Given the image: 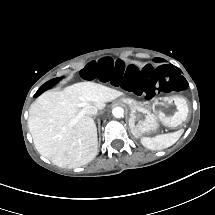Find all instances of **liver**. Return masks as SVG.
<instances>
[{
  "label": "liver",
  "instance_id": "1",
  "mask_svg": "<svg viewBox=\"0 0 215 215\" xmlns=\"http://www.w3.org/2000/svg\"><path fill=\"white\" fill-rule=\"evenodd\" d=\"M123 92L91 81L47 91L29 109L28 128L37 151L59 167L77 168L98 153L97 128L86 105L105 108Z\"/></svg>",
  "mask_w": 215,
  "mask_h": 215
}]
</instances>
